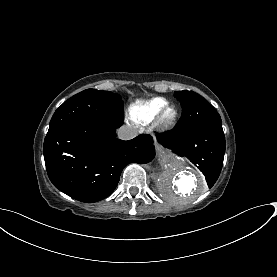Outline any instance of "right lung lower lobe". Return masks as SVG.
<instances>
[{"instance_id": "right-lung-lower-lobe-1", "label": "right lung lower lobe", "mask_w": 277, "mask_h": 277, "mask_svg": "<svg viewBox=\"0 0 277 277\" xmlns=\"http://www.w3.org/2000/svg\"><path fill=\"white\" fill-rule=\"evenodd\" d=\"M122 119H96L67 124L48 132L43 153L56 188L82 202H97L116 188L123 168L148 163L155 156L150 135L116 138Z\"/></svg>"}]
</instances>
